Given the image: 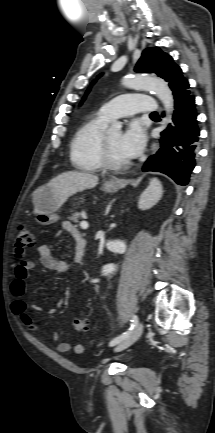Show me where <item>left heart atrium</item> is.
<instances>
[{
	"instance_id": "39dd6f15",
	"label": "left heart atrium",
	"mask_w": 215,
	"mask_h": 433,
	"mask_svg": "<svg viewBox=\"0 0 215 433\" xmlns=\"http://www.w3.org/2000/svg\"><path fill=\"white\" fill-rule=\"evenodd\" d=\"M145 133L138 122H132L121 134L119 148L122 154L129 158L139 155L145 145Z\"/></svg>"
}]
</instances>
